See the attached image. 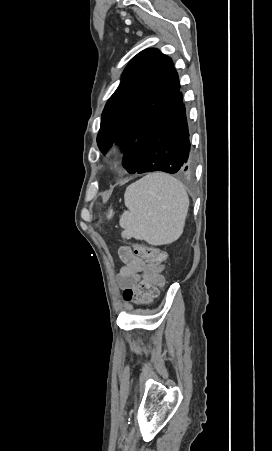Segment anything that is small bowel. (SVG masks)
<instances>
[{
	"label": "small bowel",
	"instance_id": "obj_1",
	"mask_svg": "<svg viewBox=\"0 0 272 451\" xmlns=\"http://www.w3.org/2000/svg\"><path fill=\"white\" fill-rule=\"evenodd\" d=\"M133 249L128 245H122L118 250V255L123 262V266L118 273V285L127 289L132 287L138 280V273L146 268L145 260H132Z\"/></svg>",
	"mask_w": 272,
	"mask_h": 451
}]
</instances>
